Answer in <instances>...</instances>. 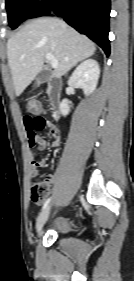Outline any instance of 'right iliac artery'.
Returning <instances> with one entry per match:
<instances>
[{"mask_svg": "<svg viewBox=\"0 0 134 281\" xmlns=\"http://www.w3.org/2000/svg\"><path fill=\"white\" fill-rule=\"evenodd\" d=\"M50 200H51V198H48V199L45 201V203H44V205H43V207H42V210H44V209L48 206Z\"/></svg>", "mask_w": 134, "mask_h": 281, "instance_id": "right-iliac-artery-1", "label": "right iliac artery"}]
</instances>
